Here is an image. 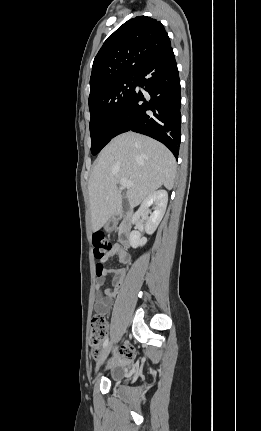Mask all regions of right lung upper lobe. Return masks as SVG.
Here are the masks:
<instances>
[{
  "instance_id": "right-lung-upper-lobe-1",
  "label": "right lung upper lobe",
  "mask_w": 261,
  "mask_h": 431,
  "mask_svg": "<svg viewBox=\"0 0 261 431\" xmlns=\"http://www.w3.org/2000/svg\"><path fill=\"white\" fill-rule=\"evenodd\" d=\"M171 46L161 22L147 16L132 18L104 42L90 77V93L140 70Z\"/></svg>"
}]
</instances>
